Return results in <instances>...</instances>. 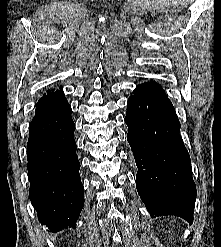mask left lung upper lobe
Wrapping results in <instances>:
<instances>
[{
    "mask_svg": "<svg viewBox=\"0 0 221 247\" xmlns=\"http://www.w3.org/2000/svg\"><path fill=\"white\" fill-rule=\"evenodd\" d=\"M136 89L141 90L151 96L166 100V101H170L166 94L165 91L163 90V88L156 82L151 81L148 83H143L140 84L136 87Z\"/></svg>",
    "mask_w": 221,
    "mask_h": 247,
    "instance_id": "1",
    "label": "left lung upper lobe"
}]
</instances>
